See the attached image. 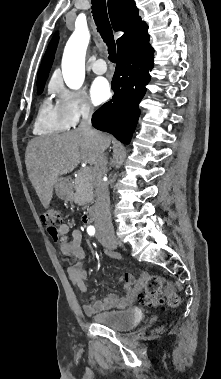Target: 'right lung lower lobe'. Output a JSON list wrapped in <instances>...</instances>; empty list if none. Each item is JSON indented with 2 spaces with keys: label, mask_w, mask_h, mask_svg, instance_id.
Here are the masks:
<instances>
[{
  "label": "right lung lower lobe",
  "mask_w": 221,
  "mask_h": 379,
  "mask_svg": "<svg viewBox=\"0 0 221 379\" xmlns=\"http://www.w3.org/2000/svg\"><path fill=\"white\" fill-rule=\"evenodd\" d=\"M147 29L118 48L112 80L115 94L92 117L96 129L111 133L126 144L130 142L136 127L140 115L139 103L151 79L149 71L154 67V49L149 44Z\"/></svg>",
  "instance_id": "right-lung-lower-lobe-1"
}]
</instances>
